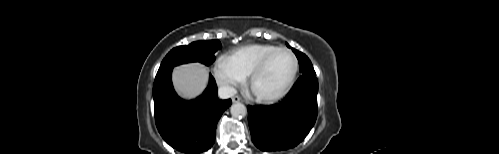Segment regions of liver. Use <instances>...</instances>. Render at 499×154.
<instances>
[{"instance_id": "6515ba94", "label": "liver", "mask_w": 499, "mask_h": 154, "mask_svg": "<svg viewBox=\"0 0 499 154\" xmlns=\"http://www.w3.org/2000/svg\"><path fill=\"white\" fill-rule=\"evenodd\" d=\"M208 82V69L200 63L180 65L173 70V84L181 97L192 99L203 92Z\"/></svg>"}]
</instances>
